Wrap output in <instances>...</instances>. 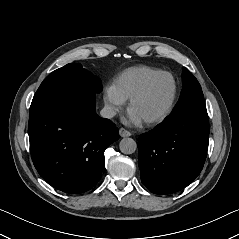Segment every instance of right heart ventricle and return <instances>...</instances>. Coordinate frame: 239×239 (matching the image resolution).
Wrapping results in <instances>:
<instances>
[{
	"mask_svg": "<svg viewBox=\"0 0 239 239\" xmlns=\"http://www.w3.org/2000/svg\"><path fill=\"white\" fill-rule=\"evenodd\" d=\"M157 72H159V70L147 66L131 67L120 73L116 77L113 85L118 93L126 100L129 99L147 79Z\"/></svg>",
	"mask_w": 239,
	"mask_h": 239,
	"instance_id": "e07e8e85",
	"label": "right heart ventricle"
}]
</instances>
